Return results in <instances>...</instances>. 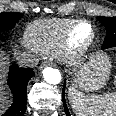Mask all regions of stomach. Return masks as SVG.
I'll return each mask as SVG.
<instances>
[{
	"label": "stomach",
	"instance_id": "stomach-1",
	"mask_svg": "<svg viewBox=\"0 0 116 116\" xmlns=\"http://www.w3.org/2000/svg\"><path fill=\"white\" fill-rule=\"evenodd\" d=\"M111 64L107 55L93 53L89 61L80 66L75 73L73 82L75 87L85 91H97L109 79Z\"/></svg>",
	"mask_w": 116,
	"mask_h": 116
}]
</instances>
